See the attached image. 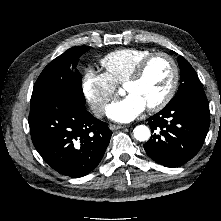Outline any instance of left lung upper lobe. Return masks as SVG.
Returning a JSON list of instances; mask_svg holds the SVG:
<instances>
[{
    "mask_svg": "<svg viewBox=\"0 0 221 221\" xmlns=\"http://www.w3.org/2000/svg\"><path fill=\"white\" fill-rule=\"evenodd\" d=\"M181 71V84L175 97L167 106L176 104L187 98H205V92L195 70L190 63L179 56L177 59Z\"/></svg>",
    "mask_w": 221,
    "mask_h": 221,
    "instance_id": "1",
    "label": "left lung upper lobe"
}]
</instances>
